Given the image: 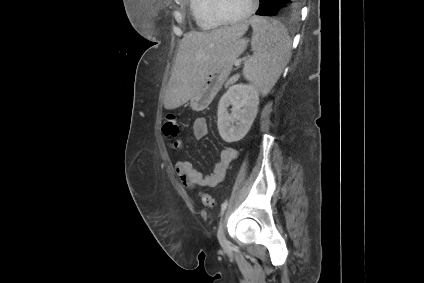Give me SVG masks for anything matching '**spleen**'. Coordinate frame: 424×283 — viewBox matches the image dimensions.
Wrapping results in <instances>:
<instances>
[{
  "mask_svg": "<svg viewBox=\"0 0 424 283\" xmlns=\"http://www.w3.org/2000/svg\"><path fill=\"white\" fill-rule=\"evenodd\" d=\"M250 23L254 54L245 61L243 75L263 95H267L289 60L291 40L287 29L279 21L253 17Z\"/></svg>",
  "mask_w": 424,
  "mask_h": 283,
  "instance_id": "obj_1",
  "label": "spleen"
}]
</instances>
